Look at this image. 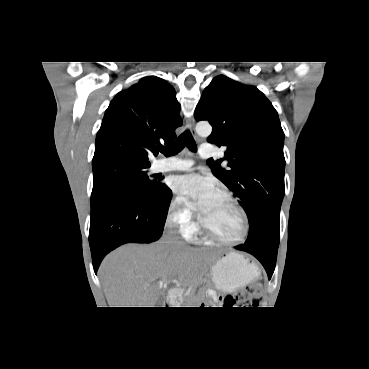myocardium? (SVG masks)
Listing matches in <instances>:
<instances>
[{
	"label": "myocardium",
	"mask_w": 369,
	"mask_h": 369,
	"mask_svg": "<svg viewBox=\"0 0 369 369\" xmlns=\"http://www.w3.org/2000/svg\"><path fill=\"white\" fill-rule=\"evenodd\" d=\"M217 194L227 198L235 207L236 209L239 211L241 217H242V223H243V227H242V233L239 237L237 238H233V239H227V238H223L217 234H215L213 231H211L203 222V219L201 217V215L198 218V228L200 230V232L208 239L222 243V244H227V245H234V244H238L241 243L243 241H245L249 235V230H250V224H249V218L247 215V212L245 211V209L243 208V206L240 204V202L228 191L226 190H218Z\"/></svg>",
	"instance_id": "obj_1"
}]
</instances>
